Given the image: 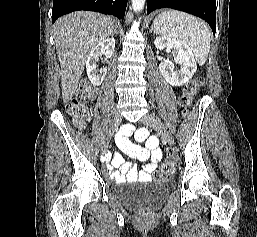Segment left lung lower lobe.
I'll use <instances>...</instances> for the list:
<instances>
[{
    "mask_svg": "<svg viewBox=\"0 0 257 237\" xmlns=\"http://www.w3.org/2000/svg\"><path fill=\"white\" fill-rule=\"evenodd\" d=\"M172 8L204 19L216 31V0H148L147 14L155 9Z\"/></svg>",
    "mask_w": 257,
    "mask_h": 237,
    "instance_id": "obj_1",
    "label": "left lung lower lobe"
}]
</instances>
